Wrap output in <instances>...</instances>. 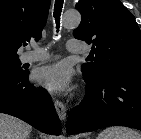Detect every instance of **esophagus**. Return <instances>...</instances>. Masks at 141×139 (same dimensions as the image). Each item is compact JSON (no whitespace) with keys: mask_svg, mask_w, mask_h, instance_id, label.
Segmentation results:
<instances>
[{"mask_svg":"<svg viewBox=\"0 0 141 139\" xmlns=\"http://www.w3.org/2000/svg\"><path fill=\"white\" fill-rule=\"evenodd\" d=\"M54 105H55V109H56V112H57L60 120L65 121V119H66V106H65V104L56 99L54 101Z\"/></svg>","mask_w":141,"mask_h":139,"instance_id":"1","label":"esophagus"}]
</instances>
